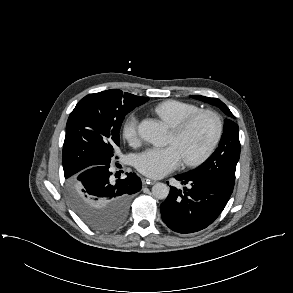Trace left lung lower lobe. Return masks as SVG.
I'll use <instances>...</instances> for the list:
<instances>
[{
  "label": "left lung lower lobe",
  "instance_id": "obj_1",
  "mask_svg": "<svg viewBox=\"0 0 293 293\" xmlns=\"http://www.w3.org/2000/svg\"><path fill=\"white\" fill-rule=\"evenodd\" d=\"M175 178L191 187H184L183 192L170 187L160 210L163 222L181 234L194 233L212 224L233 192V187L212 178L189 173L176 175Z\"/></svg>",
  "mask_w": 293,
  "mask_h": 293
}]
</instances>
